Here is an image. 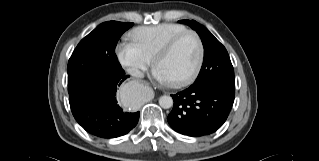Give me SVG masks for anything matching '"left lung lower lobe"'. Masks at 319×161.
Returning <instances> with one entry per match:
<instances>
[{
	"label": "left lung lower lobe",
	"instance_id": "1",
	"mask_svg": "<svg viewBox=\"0 0 319 161\" xmlns=\"http://www.w3.org/2000/svg\"><path fill=\"white\" fill-rule=\"evenodd\" d=\"M171 96L174 106L168 115L170 126L183 135L200 137L215 132L226 121L235 90L214 84H192Z\"/></svg>",
	"mask_w": 319,
	"mask_h": 161
}]
</instances>
